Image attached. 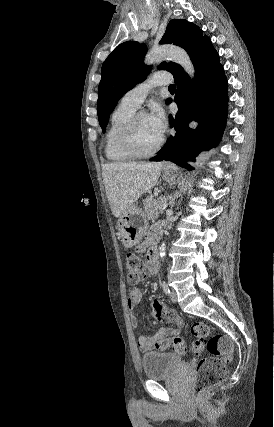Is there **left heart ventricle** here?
Wrapping results in <instances>:
<instances>
[{"instance_id":"left-heart-ventricle-1","label":"left heart ventricle","mask_w":274,"mask_h":427,"mask_svg":"<svg viewBox=\"0 0 274 427\" xmlns=\"http://www.w3.org/2000/svg\"><path fill=\"white\" fill-rule=\"evenodd\" d=\"M161 138L162 135L158 134L151 126L148 116H141L134 132L136 150L140 153H148L157 146Z\"/></svg>"}]
</instances>
